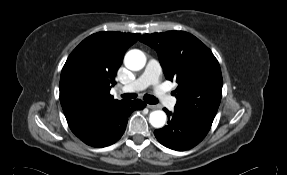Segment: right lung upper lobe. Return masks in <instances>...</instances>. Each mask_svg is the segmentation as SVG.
<instances>
[{"mask_svg":"<svg viewBox=\"0 0 287 175\" xmlns=\"http://www.w3.org/2000/svg\"><path fill=\"white\" fill-rule=\"evenodd\" d=\"M140 34L98 32L69 55L60 77V102L68 125L78 133L100 120L112 107L110 89L126 50Z\"/></svg>","mask_w":287,"mask_h":175,"instance_id":"obj_1","label":"right lung upper lobe"}]
</instances>
